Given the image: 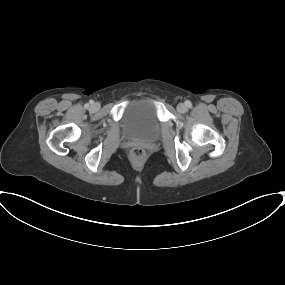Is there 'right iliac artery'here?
<instances>
[{
  "label": "right iliac artery",
  "instance_id": "right-iliac-artery-1",
  "mask_svg": "<svg viewBox=\"0 0 285 285\" xmlns=\"http://www.w3.org/2000/svg\"><path fill=\"white\" fill-rule=\"evenodd\" d=\"M92 103H93V101H90V104H92ZM88 106H89L88 104L85 105L86 108H87Z\"/></svg>",
  "mask_w": 285,
  "mask_h": 285
}]
</instances>
